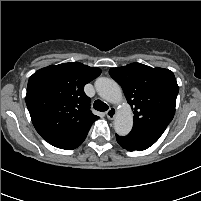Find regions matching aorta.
<instances>
[{
  "mask_svg": "<svg viewBox=\"0 0 201 201\" xmlns=\"http://www.w3.org/2000/svg\"><path fill=\"white\" fill-rule=\"evenodd\" d=\"M98 95L113 104L122 103L114 119L115 132L120 136H126L133 126V113L128 103L124 102L123 94L119 84L113 79L100 77L95 82Z\"/></svg>",
  "mask_w": 201,
  "mask_h": 201,
  "instance_id": "762f6f07",
  "label": "aorta"
}]
</instances>
